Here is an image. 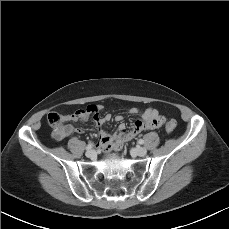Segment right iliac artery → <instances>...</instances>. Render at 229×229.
Masks as SVG:
<instances>
[{"instance_id": "right-iliac-artery-1", "label": "right iliac artery", "mask_w": 229, "mask_h": 229, "mask_svg": "<svg viewBox=\"0 0 229 229\" xmlns=\"http://www.w3.org/2000/svg\"><path fill=\"white\" fill-rule=\"evenodd\" d=\"M93 143H89L87 146H86V150H90L91 148H93Z\"/></svg>"}]
</instances>
